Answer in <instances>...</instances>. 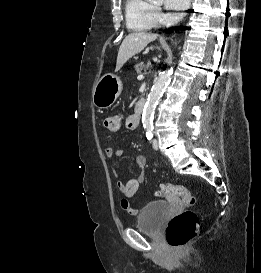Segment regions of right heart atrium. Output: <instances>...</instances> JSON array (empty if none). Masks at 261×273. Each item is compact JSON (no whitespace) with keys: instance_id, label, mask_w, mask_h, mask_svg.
I'll return each mask as SVG.
<instances>
[{"instance_id":"1","label":"right heart atrium","mask_w":261,"mask_h":273,"mask_svg":"<svg viewBox=\"0 0 261 273\" xmlns=\"http://www.w3.org/2000/svg\"><path fill=\"white\" fill-rule=\"evenodd\" d=\"M154 14L157 19V21H161L163 19V14L160 12L158 8L154 9Z\"/></svg>"}]
</instances>
